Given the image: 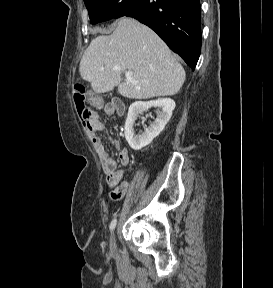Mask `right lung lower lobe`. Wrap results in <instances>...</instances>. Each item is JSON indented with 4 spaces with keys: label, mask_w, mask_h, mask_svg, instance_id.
Listing matches in <instances>:
<instances>
[{
    "label": "right lung lower lobe",
    "mask_w": 273,
    "mask_h": 288,
    "mask_svg": "<svg viewBox=\"0 0 273 288\" xmlns=\"http://www.w3.org/2000/svg\"><path fill=\"white\" fill-rule=\"evenodd\" d=\"M123 16L149 26L195 69L201 51L199 0H136Z\"/></svg>",
    "instance_id": "1"
}]
</instances>
